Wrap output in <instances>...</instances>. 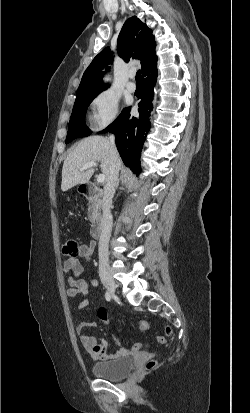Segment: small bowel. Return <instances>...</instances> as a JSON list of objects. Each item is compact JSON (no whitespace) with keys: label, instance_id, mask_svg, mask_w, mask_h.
Returning a JSON list of instances; mask_svg holds the SVG:
<instances>
[{"label":"small bowel","instance_id":"obj_1","mask_svg":"<svg viewBox=\"0 0 250 413\" xmlns=\"http://www.w3.org/2000/svg\"><path fill=\"white\" fill-rule=\"evenodd\" d=\"M95 249V242L90 241L87 244L79 246L78 256L86 260H90ZM63 270L67 275L69 288L67 289V296L74 298L81 295L83 299L78 303L77 309L83 310L89 305V288L97 287L98 281L95 278L89 281L81 278V274L84 271L83 265L76 257H69L64 261ZM95 322H80L76 327V332L79 335L80 342L83 348L89 353L93 360H109L121 356L127 352L125 348H119L118 350L110 353L108 351L109 345L106 341L98 339L96 336L88 335L84 333V330L89 327H94ZM115 342L119 344L118 339Z\"/></svg>","mask_w":250,"mask_h":413}]
</instances>
